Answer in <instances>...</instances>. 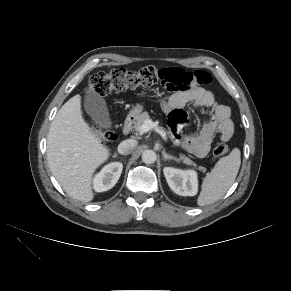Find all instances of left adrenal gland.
<instances>
[{
    "label": "left adrenal gland",
    "mask_w": 291,
    "mask_h": 291,
    "mask_svg": "<svg viewBox=\"0 0 291 291\" xmlns=\"http://www.w3.org/2000/svg\"><path fill=\"white\" fill-rule=\"evenodd\" d=\"M162 155H163L164 160H175L177 162L179 161V159L177 157H175V156H173L171 154H167L165 152V150L162 151Z\"/></svg>",
    "instance_id": "1"
}]
</instances>
